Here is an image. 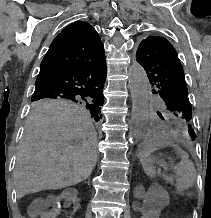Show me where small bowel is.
<instances>
[{
    "label": "small bowel",
    "mask_w": 211,
    "mask_h": 218,
    "mask_svg": "<svg viewBox=\"0 0 211 218\" xmlns=\"http://www.w3.org/2000/svg\"><path fill=\"white\" fill-rule=\"evenodd\" d=\"M161 209L158 207H151L144 211L142 218H160ZM63 212L58 207H52L42 213V218H61Z\"/></svg>",
    "instance_id": "small-bowel-1"
}]
</instances>
